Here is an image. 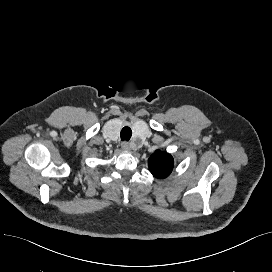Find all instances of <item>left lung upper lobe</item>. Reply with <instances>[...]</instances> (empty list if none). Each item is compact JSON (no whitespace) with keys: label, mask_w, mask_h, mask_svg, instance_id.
<instances>
[{"label":"left lung upper lobe","mask_w":272,"mask_h":272,"mask_svg":"<svg viewBox=\"0 0 272 272\" xmlns=\"http://www.w3.org/2000/svg\"><path fill=\"white\" fill-rule=\"evenodd\" d=\"M148 164L155 177L165 178L172 172L174 161L170 154L157 150L150 156Z\"/></svg>","instance_id":"1"}]
</instances>
